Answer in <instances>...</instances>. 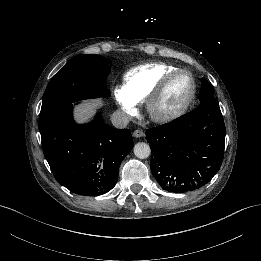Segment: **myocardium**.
Returning <instances> with one entry per match:
<instances>
[{
  "instance_id": "f54148a6",
  "label": "myocardium",
  "mask_w": 261,
  "mask_h": 261,
  "mask_svg": "<svg viewBox=\"0 0 261 261\" xmlns=\"http://www.w3.org/2000/svg\"><path fill=\"white\" fill-rule=\"evenodd\" d=\"M183 75L185 76L190 83V93L185 101L175 109L166 110L162 107V104L166 98V95L175 80L176 77ZM196 95V83L194 81L193 76L186 70L183 69H175L173 72L168 74L164 80L161 82L159 87L155 90V92L149 97L147 101V110L150 118L158 123H166L172 120H175L182 116L192 101L194 100Z\"/></svg>"
}]
</instances>
